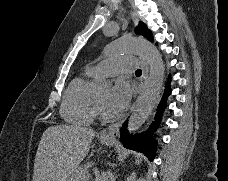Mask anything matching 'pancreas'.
Returning <instances> with one entry per match:
<instances>
[{
  "label": "pancreas",
  "instance_id": "cf45deb5",
  "mask_svg": "<svg viewBox=\"0 0 228 181\" xmlns=\"http://www.w3.org/2000/svg\"><path fill=\"white\" fill-rule=\"evenodd\" d=\"M89 179H90V175L85 165H81V167H78L76 171H73L70 177V181H89Z\"/></svg>",
  "mask_w": 228,
  "mask_h": 181
}]
</instances>
